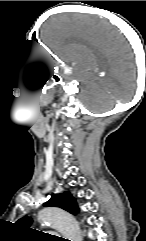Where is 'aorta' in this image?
I'll use <instances>...</instances> for the list:
<instances>
[{
  "label": "aorta",
  "mask_w": 146,
  "mask_h": 241,
  "mask_svg": "<svg viewBox=\"0 0 146 241\" xmlns=\"http://www.w3.org/2000/svg\"><path fill=\"white\" fill-rule=\"evenodd\" d=\"M41 223L57 228L64 237L71 241H83L79 224L65 210L58 207H46L38 214Z\"/></svg>",
  "instance_id": "aorta-1"
}]
</instances>
